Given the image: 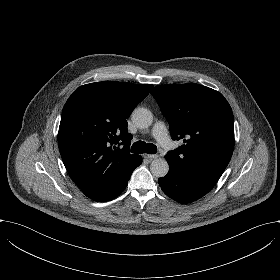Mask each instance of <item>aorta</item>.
Returning a JSON list of instances; mask_svg holds the SVG:
<instances>
[{"label":"aorta","instance_id":"aorta-1","mask_svg":"<svg viewBox=\"0 0 280 280\" xmlns=\"http://www.w3.org/2000/svg\"><path fill=\"white\" fill-rule=\"evenodd\" d=\"M132 121L139 128H147L152 124L153 115L146 108H136L132 112ZM150 171L155 177H164L169 171V165L163 158H156L150 165Z\"/></svg>","mask_w":280,"mask_h":280}]
</instances>
